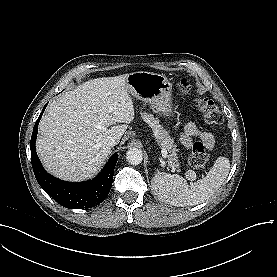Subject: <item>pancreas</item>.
I'll list each match as a JSON object with an SVG mask.
<instances>
[{"label":"pancreas","mask_w":277,"mask_h":277,"mask_svg":"<svg viewBox=\"0 0 277 277\" xmlns=\"http://www.w3.org/2000/svg\"><path fill=\"white\" fill-rule=\"evenodd\" d=\"M141 117L146 121L152 128L154 134L157 137V141L162 148L168 150L169 155L167 157L168 165L171 167L172 171H176L179 168V160L177 157V145L174 143V139L170 134L162 127L159 120L155 118L152 114L146 112L141 114Z\"/></svg>","instance_id":"1"}]
</instances>
